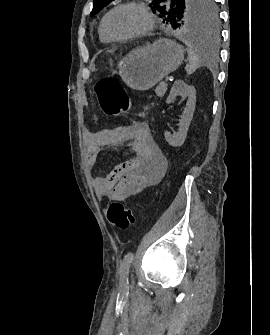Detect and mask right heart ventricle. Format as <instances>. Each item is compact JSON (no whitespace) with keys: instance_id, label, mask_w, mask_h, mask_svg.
Returning <instances> with one entry per match:
<instances>
[{"instance_id":"e07e8e85","label":"right heart ventricle","mask_w":270,"mask_h":335,"mask_svg":"<svg viewBox=\"0 0 270 335\" xmlns=\"http://www.w3.org/2000/svg\"><path fill=\"white\" fill-rule=\"evenodd\" d=\"M98 33H99V38L101 40V42L103 43H110L112 40L105 34V32L102 29V26H99L98 29Z\"/></svg>"}]
</instances>
